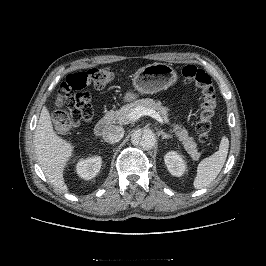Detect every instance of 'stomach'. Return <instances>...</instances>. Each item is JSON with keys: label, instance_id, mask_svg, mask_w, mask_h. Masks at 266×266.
I'll return each mask as SVG.
<instances>
[{"label": "stomach", "instance_id": "1", "mask_svg": "<svg viewBox=\"0 0 266 266\" xmlns=\"http://www.w3.org/2000/svg\"><path fill=\"white\" fill-rule=\"evenodd\" d=\"M176 70L165 63H153L139 69L132 81L135 90L140 94H154L166 90L177 82ZM136 97L132 92H127L124 100L130 101Z\"/></svg>", "mask_w": 266, "mask_h": 266}]
</instances>
